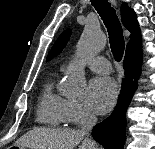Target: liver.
<instances>
[{"label": "liver", "instance_id": "6515ba94", "mask_svg": "<svg viewBox=\"0 0 155 149\" xmlns=\"http://www.w3.org/2000/svg\"><path fill=\"white\" fill-rule=\"evenodd\" d=\"M80 143L79 149H93L80 130L36 127L20 137L14 145L29 149H75Z\"/></svg>", "mask_w": 155, "mask_h": 149}]
</instances>
